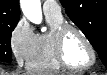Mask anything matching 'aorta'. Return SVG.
<instances>
[{
  "label": "aorta",
  "instance_id": "obj_1",
  "mask_svg": "<svg viewBox=\"0 0 107 75\" xmlns=\"http://www.w3.org/2000/svg\"><path fill=\"white\" fill-rule=\"evenodd\" d=\"M21 9L24 16L35 24L42 22V11L40 0H21Z\"/></svg>",
  "mask_w": 107,
  "mask_h": 75
}]
</instances>
